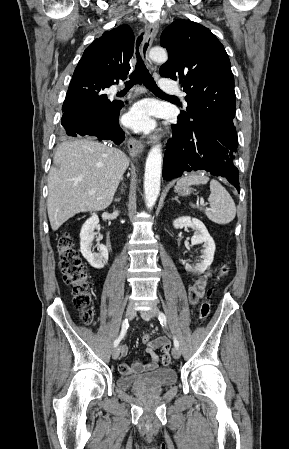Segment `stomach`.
<instances>
[{
    "instance_id": "stomach-1",
    "label": "stomach",
    "mask_w": 289,
    "mask_h": 449,
    "mask_svg": "<svg viewBox=\"0 0 289 449\" xmlns=\"http://www.w3.org/2000/svg\"><path fill=\"white\" fill-rule=\"evenodd\" d=\"M175 192L181 196H187L192 192V188L189 186H175Z\"/></svg>"
}]
</instances>
